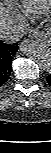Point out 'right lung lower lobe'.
Wrapping results in <instances>:
<instances>
[{"instance_id":"98d812e1","label":"right lung lower lobe","mask_w":51,"mask_h":153,"mask_svg":"<svg viewBox=\"0 0 51 153\" xmlns=\"http://www.w3.org/2000/svg\"><path fill=\"white\" fill-rule=\"evenodd\" d=\"M17 50V43L11 45L0 41V86L9 78L12 71V60Z\"/></svg>"}]
</instances>
